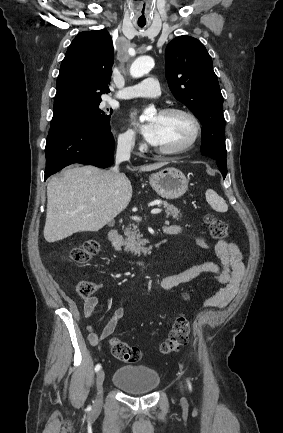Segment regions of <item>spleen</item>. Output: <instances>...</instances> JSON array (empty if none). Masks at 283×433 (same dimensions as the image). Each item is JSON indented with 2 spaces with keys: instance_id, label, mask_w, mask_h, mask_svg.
<instances>
[{
  "instance_id": "spleen-1",
  "label": "spleen",
  "mask_w": 283,
  "mask_h": 433,
  "mask_svg": "<svg viewBox=\"0 0 283 433\" xmlns=\"http://www.w3.org/2000/svg\"><path fill=\"white\" fill-rule=\"evenodd\" d=\"M206 200L209 202L210 206H212L214 210H218V212H226L228 208V204H226L224 198H221L212 188L206 190Z\"/></svg>"
}]
</instances>
